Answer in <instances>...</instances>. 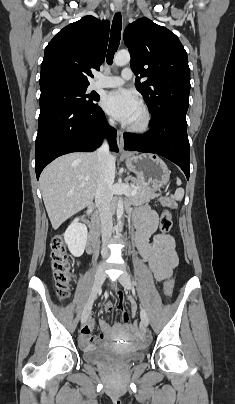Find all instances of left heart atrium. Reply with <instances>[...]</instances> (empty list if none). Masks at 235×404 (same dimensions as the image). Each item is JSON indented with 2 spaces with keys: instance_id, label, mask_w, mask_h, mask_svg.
Returning a JSON list of instances; mask_svg holds the SVG:
<instances>
[{
  "instance_id": "39dd6f15",
  "label": "left heart atrium",
  "mask_w": 235,
  "mask_h": 404,
  "mask_svg": "<svg viewBox=\"0 0 235 404\" xmlns=\"http://www.w3.org/2000/svg\"><path fill=\"white\" fill-rule=\"evenodd\" d=\"M102 107L117 120L130 124L140 111L141 103L134 93L118 89L107 93L103 97Z\"/></svg>"
}]
</instances>
